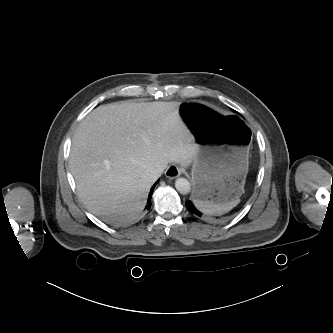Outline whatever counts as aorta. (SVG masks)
<instances>
[{
    "label": "aorta",
    "mask_w": 333,
    "mask_h": 333,
    "mask_svg": "<svg viewBox=\"0 0 333 333\" xmlns=\"http://www.w3.org/2000/svg\"><path fill=\"white\" fill-rule=\"evenodd\" d=\"M175 187L180 194L186 195L190 192V183L185 178H177L175 181Z\"/></svg>",
    "instance_id": "aorta-1"
}]
</instances>
